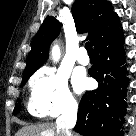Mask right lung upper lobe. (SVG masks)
Segmentation results:
<instances>
[{
  "label": "right lung upper lobe",
  "instance_id": "right-lung-upper-lobe-1",
  "mask_svg": "<svg viewBox=\"0 0 136 136\" xmlns=\"http://www.w3.org/2000/svg\"><path fill=\"white\" fill-rule=\"evenodd\" d=\"M76 29L88 32L87 39L94 48L101 42L121 34L120 26L112 5L106 0H76L72 6ZM60 32V23L48 16L34 37L23 78L31 76L47 60L50 43Z\"/></svg>",
  "mask_w": 136,
  "mask_h": 136
}]
</instances>
